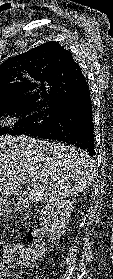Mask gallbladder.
<instances>
[{
  "instance_id": "obj_1",
  "label": "gallbladder",
  "mask_w": 113,
  "mask_h": 279,
  "mask_svg": "<svg viewBox=\"0 0 113 279\" xmlns=\"http://www.w3.org/2000/svg\"><path fill=\"white\" fill-rule=\"evenodd\" d=\"M22 196L24 197V196H25V194H22ZM0 205H1V201H0Z\"/></svg>"
}]
</instances>
